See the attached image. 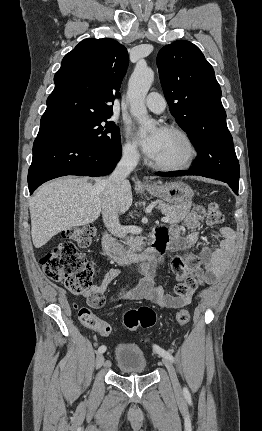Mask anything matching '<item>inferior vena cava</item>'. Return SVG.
I'll use <instances>...</instances> for the list:
<instances>
[{
    "mask_svg": "<svg viewBox=\"0 0 262 431\" xmlns=\"http://www.w3.org/2000/svg\"><path fill=\"white\" fill-rule=\"evenodd\" d=\"M138 161L139 153L135 149H123L122 157L116 168L104 181L107 198L102 206L103 221L107 229L119 238H124L126 231L119 222L117 196L128 182L126 178L136 167Z\"/></svg>",
    "mask_w": 262,
    "mask_h": 431,
    "instance_id": "obj_1",
    "label": "inferior vena cava"
}]
</instances>
